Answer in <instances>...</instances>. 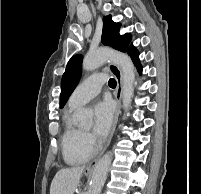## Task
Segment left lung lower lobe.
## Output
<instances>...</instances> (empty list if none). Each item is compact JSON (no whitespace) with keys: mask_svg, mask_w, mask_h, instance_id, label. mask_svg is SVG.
<instances>
[{"mask_svg":"<svg viewBox=\"0 0 201 194\" xmlns=\"http://www.w3.org/2000/svg\"><path fill=\"white\" fill-rule=\"evenodd\" d=\"M128 54L131 56L133 62L137 66L138 71L141 73L142 67L139 63V53H138L137 49L134 47Z\"/></svg>","mask_w":201,"mask_h":194,"instance_id":"0a47b994","label":"left lung lower lobe"}]
</instances>
